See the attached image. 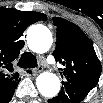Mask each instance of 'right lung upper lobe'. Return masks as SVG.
I'll use <instances>...</instances> for the list:
<instances>
[{
    "instance_id": "1",
    "label": "right lung upper lobe",
    "mask_w": 103,
    "mask_h": 103,
    "mask_svg": "<svg viewBox=\"0 0 103 103\" xmlns=\"http://www.w3.org/2000/svg\"><path fill=\"white\" fill-rule=\"evenodd\" d=\"M46 18V15L39 12L0 8V95L20 80L13 69V61L23 46V41L17 40L29 25Z\"/></svg>"
}]
</instances>
